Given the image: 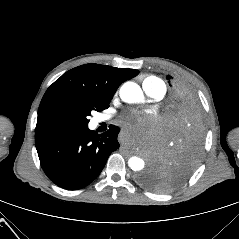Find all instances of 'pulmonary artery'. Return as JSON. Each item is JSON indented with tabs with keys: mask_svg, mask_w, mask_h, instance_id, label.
I'll return each instance as SVG.
<instances>
[{
	"mask_svg": "<svg viewBox=\"0 0 239 239\" xmlns=\"http://www.w3.org/2000/svg\"><path fill=\"white\" fill-rule=\"evenodd\" d=\"M143 89L148 96L156 100L162 99L166 93V86L161 80L155 83L143 85ZM105 118L107 117H104L103 119Z\"/></svg>",
	"mask_w": 239,
	"mask_h": 239,
	"instance_id": "1",
	"label": "pulmonary artery"
}]
</instances>
